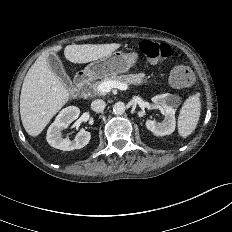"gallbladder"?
<instances>
[{
	"mask_svg": "<svg viewBox=\"0 0 232 232\" xmlns=\"http://www.w3.org/2000/svg\"><path fill=\"white\" fill-rule=\"evenodd\" d=\"M47 63L53 73L60 79L66 86H72L69 76L66 74L60 58L55 53H50L47 57Z\"/></svg>",
	"mask_w": 232,
	"mask_h": 232,
	"instance_id": "obj_1",
	"label": "gallbladder"
}]
</instances>
